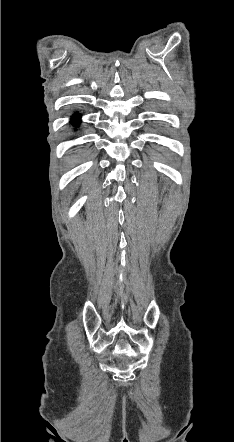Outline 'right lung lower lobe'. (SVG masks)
<instances>
[{"instance_id":"obj_1","label":"right lung lower lobe","mask_w":234,"mask_h":442,"mask_svg":"<svg viewBox=\"0 0 234 442\" xmlns=\"http://www.w3.org/2000/svg\"><path fill=\"white\" fill-rule=\"evenodd\" d=\"M79 115L78 114H75L74 116H73V118H72V122H73V124H78L79 122H80V120H79Z\"/></svg>"}]
</instances>
